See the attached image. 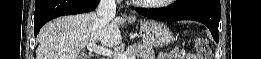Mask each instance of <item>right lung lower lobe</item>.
<instances>
[{"mask_svg": "<svg viewBox=\"0 0 261 59\" xmlns=\"http://www.w3.org/2000/svg\"><path fill=\"white\" fill-rule=\"evenodd\" d=\"M34 35L48 21L63 15L92 11L99 0H36Z\"/></svg>", "mask_w": 261, "mask_h": 59, "instance_id": "98d812e1", "label": "right lung lower lobe"}]
</instances>
